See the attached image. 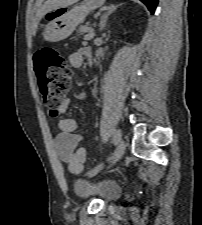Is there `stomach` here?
<instances>
[{"label": "stomach", "instance_id": "1", "mask_svg": "<svg viewBox=\"0 0 202 225\" xmlns=\"http://www.w3.org/2000/svg\"><path fill=\"white\" fill-rule=\"evenodd\" d=\"M104 3L105 0H84L81 5L72 9L62 7L48 12L45 17H48L49 21L42 33L44 39L49 42H58L68 38L90 12Z\"/></svg>", "mask_w": 202, "mask_h": 225}]
</instances>
